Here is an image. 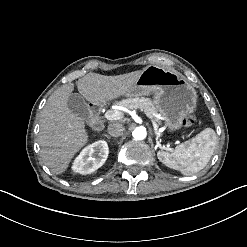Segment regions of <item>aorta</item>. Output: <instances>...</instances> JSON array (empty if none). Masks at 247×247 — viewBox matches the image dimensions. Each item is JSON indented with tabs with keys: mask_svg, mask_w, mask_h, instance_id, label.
Here are the masks:
<instances>
[{
	"mask_svg": "<svg viewBox=\"0 0 247 247\" xmlns=\"http://www.w3.org/2000/svg\"><path fill=\"white\" fill-rule=\"evenodd\" d=\"M132 136L135 140H143L147 136L146 128L143 126L136 127L133 132Z\"/></svg>",
	"mask_w": 247,
	"mask_h": 247,
	"instance_id": "aorta-1",
	"label": "aorta"
}]
</instances>
